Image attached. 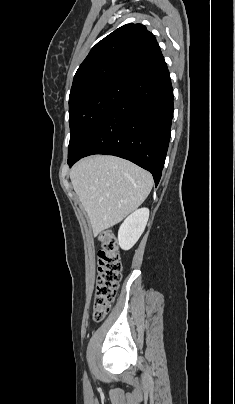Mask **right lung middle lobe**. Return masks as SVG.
Returning a JSON list of instances; mask_svg holds the SVG:
<instances>
[{"label": "right lung middle lobe", "mask_w": 235, "mask_h": 404, "mask_svg": "<svg viewBox=\"0 0 235 404\" xmlns=\"http://www.w3.org/2000/svg\"><path fill=\"white\" fill-rule=\"evenodd\" d=\"M125 82H105L84 88L69 98L70 142L68 156L87 132L119 101Z\"/></svg>", "instance_id": "obj_1"}]
</instances>
